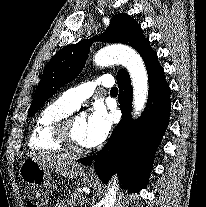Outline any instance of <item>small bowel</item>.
Here are the masks:
<instances>
[{
  "label": "small bowel",
  "mask_w": 206,
  "mask_h": 207,
  "mask_svg": "<svg viewBox=\"0 0 206 207\" xmlns=\"http://www.w3.org/2000/svg\"><path fill=\"white\" fill-rule=\"evenodd\" d=\"M55 207H67L64 203H58Z\"/></svg>",
  "instance_id": "1"
}]
</instances>
